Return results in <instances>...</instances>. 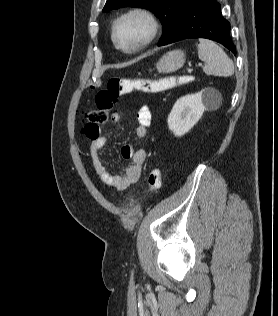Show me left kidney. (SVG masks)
<instances>
[{
    "mask_svg": "<svg viewBox=\"0 0 278 316\" xmlns=\"http://www.w3.org/2000/svg\"><path fill=\"white\" fill-rule=\"evenodd\" d=\"M215 95V89L205 88L178 99L167 119L168 127L174 135L179 137L186 134L212 105Z\"/></svg>",
    "mask_w": 278,
    "mask_h": 316,
    "instance_id": "obj_1",
    "label": "left kidney"
}]
</instances>
